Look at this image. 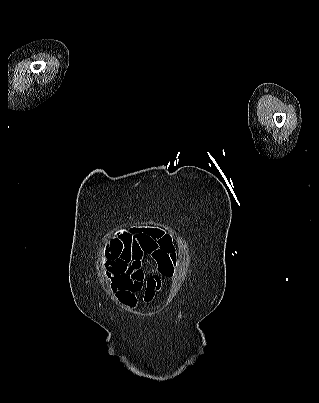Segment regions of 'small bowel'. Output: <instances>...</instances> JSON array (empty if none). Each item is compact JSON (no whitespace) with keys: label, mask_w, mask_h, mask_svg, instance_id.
I'll return each instance as SVG.
<instances>
[{"label":"small bowel","mask_w":319,"mask_h":403,"mask_svg":"<svg viewBox=\"0 0 319 403\" xmlns=\"http://www.w3.org/2000/svg\"><path fill=\"white\" fill-rule=\"evenodd\" d=\"M101 247L104 252L103 274L119 298L130 307L137 305V293L141 290H145V300L150 301L160 288L158 276L146 279L144 257H149L156 264L157 272L164 277L172 276L182 262L171 237L152 228L116 225L111 234L102 239Z\"/></svg>","instance_id":"small-bowel-1"}]
</instances>
